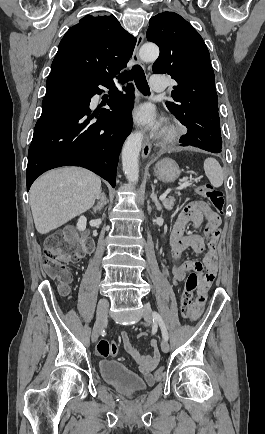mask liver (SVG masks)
Returning a JSON list of instances; mask_svg holds the SVG:
<instances>
[{
	"instance_id": "6515ba94",
	"label": "liver",
	"mask_w": 265,
	"mask_h": 434,
	"mask_svg": "<svg viewBox=\"0 0 265 434\" xmlns=\"http://www.w3.org/2000/svg\"><path fill=\"white\" fill-rule=\"evenodd\" d=\"M101 192V180L83 168H60L31 186L30 206L35 228L48 234L92 208Z\"/></svg>"
}]
</instances>
